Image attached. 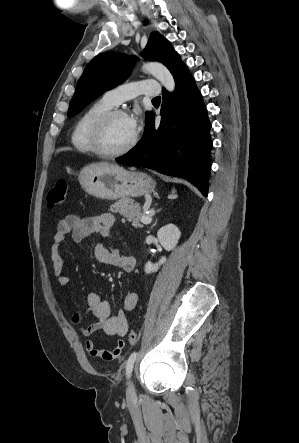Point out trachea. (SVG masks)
Returning a JSON list of instances; mask_svg holds the SVG:
<instances>
[{
  "instance_id": "3493384b",
  "label": "trachea",
  "mask_w": 299,
  "mask_h": 443,
  "mask_svg": "<svg viewBox=\"0 0 299 443\" xmlns=\"http://www.w3.org/2000/svg\"><path fill=\"white\" fill-rule=\"evenodd\" d=\"M160 100H161V97L157 96V97L152 99V102H160Z\"/></svg>"
}]
</instances>
